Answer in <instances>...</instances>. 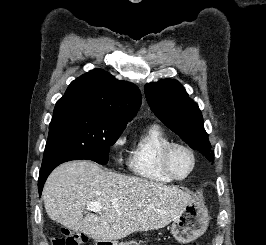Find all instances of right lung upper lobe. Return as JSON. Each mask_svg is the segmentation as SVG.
<instances>
[{
	"label": "right lung upper lobe",
	"instance_id": "obj_1",
	"mask_svg": "<svg viewBox=\"0 0 266 245\" xmlns=\"http://www.w3.org/2000/svg\"><path fill=\"white\" fill-rule=\"evenodd\" d=\"M141 100L136 85L95 69L71 82L64 96L57 101L53 116L88 111L128 122L136 115Z\"/></svg>",
	"mask_w": 266,
	"mask_h": 245
}]
</instances>
